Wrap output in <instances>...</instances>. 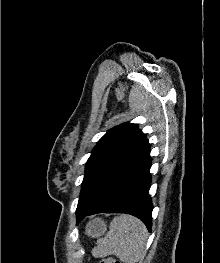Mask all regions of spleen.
<instances>
[{
	"mask_svg": "<svg viewBox=\"0 0 220 263\" xmlns=\"http://www.w3.org/2000/svg\"><path fill=\"white\" fill-rule=\"evenodd\" d=\"M147 237V229L139 219L122 214L112 220L107 235L97 240L93 254H114L124 263H136L145 254Z\"/></svg>",
	"mask_w": 220,
	"mask_h": 263,
	"instance_id": "obj_1",
	"label": "spleen"
}]
</instances>
